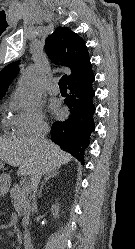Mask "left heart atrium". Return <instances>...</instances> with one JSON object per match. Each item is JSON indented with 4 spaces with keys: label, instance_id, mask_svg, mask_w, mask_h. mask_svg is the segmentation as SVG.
<instances>
[{
    "label": "left heart atrium",
    "instance_id": "1",
    "mask_svg": "<svg viewBox=\"0 0 135 249\" xmlns=\"http://www.w3.org/2000/svg\"><path fill=\"white\" fill-rule=\"evenodd\" d=\"M53 110H54L55 112L57 111V109H56V108H54Z\"/></svg>",
    "mask_w": 135,
    "mask_h": 249
}]
</instances>
